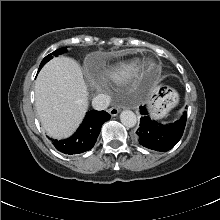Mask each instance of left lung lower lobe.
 <instances>
[{
	"label": "left lung lower lobe",
	"instance_id": "0a47b994",
	"mask_svg": "<svg viewBox=\"0 0 220 220\" xmlns=\"http://www.w3.org/2000/svg\"><path fill=\"white\" fill-rule=\"evenodd\" d=\"M143 115L140 120V127L136 131V140L146 148L156 151H168L173 148L183 135L186 125V112L174 123L161 125L151 120L146 108L140 107Z\"/></svg>",
	"mask_w": 220,
	"mask_h": 220
}]
</instances>
